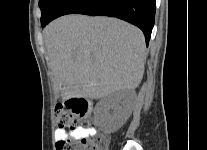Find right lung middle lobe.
Listing matches in <instances>:
<instances>
[{"instance_id":"obj_1","label":"right lung middle lobe","mask_w":207,"mask_h":150,"mask_svg":"<svg viewBox=\"0 0 207 150\" xmlns=\"http://www.w3.org/2000/svg\"><path fill=\"white\" fill-rule=\"evenodd\" d=\"M62 2L63 0H39V7L42 12L41 24L52 18L56 9Z\"/></svg>"}]
</instances>
